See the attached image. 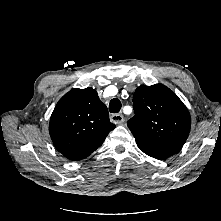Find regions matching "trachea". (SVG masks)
Here are the masks:
<instances>
[{
	"mask_svg": "<svg viewBox=\"0 0 221 221\" xmlns=\"http://www.w3.org/2000/svg\"><path fill=\"white\" fill-rule=\"evenodd\" d=\"M121 110V101L117 98H113L109 103V111L111 113H118Z\"/></svg>",
	"mask_w": 221,
	"mask_h": 221,
	"instance_id": "1",
	"label": "trachea"
}]
</instances>
